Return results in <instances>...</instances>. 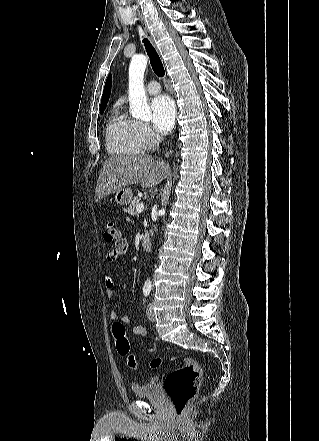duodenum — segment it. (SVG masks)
Wrapping results in <instances>:
<instances>
[{"label":"duodenum","instance_id":"obj_1","mask_svg":"<svg viewBox=\"0 0 319 441\" xmlns=\"http://www.w3.org/2000/svg\"><path fill=\"white\" fill-rule=\"evenodd\" d=\"M141 244L144 250H149L151 247V238L149 233H144L141 238Z\"/></svg>","mask_w":319,"mask_h":441}]
</instances>
